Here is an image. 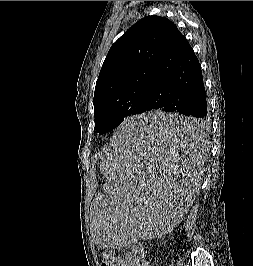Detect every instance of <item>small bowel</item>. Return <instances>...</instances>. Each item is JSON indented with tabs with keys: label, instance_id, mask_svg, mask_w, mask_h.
Listing matches in <instances>:
<instances>
[{
	"label": "small bowel",
	"instance_id": "small-bowel-1",
	"mask_svg": "<svg viewBox=\"0 0 253 266\" xmlns=\"http://www.w3.org/2000/svg\"><path fill=\"white\" fill-rule=\"evenodd\" d=\"M142 248H133L127 252L121 260V266H149V263L142 258Z\"/></svg>",
	"mask_w": 253,
	"mask_h": 266
}]
</instances>
